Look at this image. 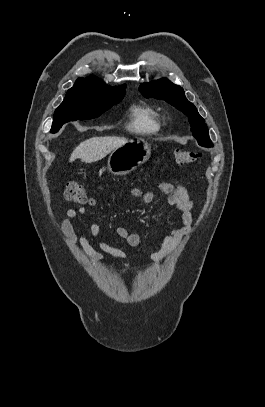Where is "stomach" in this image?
<instances>
[{
  "instance_id": "stomach-1",
  "label": "stomach",
  "mask_w": 265,
  "mask_h": 407,
  "mask_svg": "<svg viewBox=\"0 0 265 407\" xmlns=\"http://www.w3.org/2000/svg\"><path fill=\"white\" fill-rule=\"evenodd\" d=\"M151 155L150 145L142 140H130L114 149L108 158L109 171L114 175H126L145 163Z\"/></svg>"
}]
</instances>
